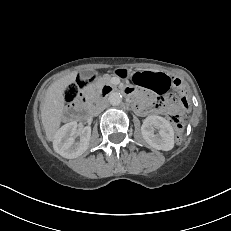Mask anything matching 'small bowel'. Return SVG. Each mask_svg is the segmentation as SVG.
<instances>
[{
	"label": "small bowel",
	"mask_w": 231,
	"mask_h": 231,
	"mask_svg": "<svg viewBox=\"0 0 231 231\" xmlns=\"http://www.w3.org/2000/svg\"><path fill=\"white\" fill-rule=\"evenodd\" d=\"M137 76L140 77L139 82L135 78V83L137 85L147 88L156 94H163L171 88L180 87V83H178L177 79L165 73L154 72V71H142L137 73ZM129 91L131 93L134 92L133 89H129ZM148 102H150V100ZM143 108H144L143 105L141 104L138 105L137 108L138 112L139 113L149 112L148 110H145ZM168 110L172 112H179L181 108L176 106V104L172 100H170V105L168 106ZM165 111H166L165 109L152 110V112H156V113H163Z\"/></svg>",
	"instance_id": "small-bowel-1"
}]
</instances>
